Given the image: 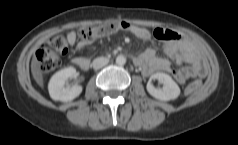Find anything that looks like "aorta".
<instances>
[{"label":"aorta","mask_w":238,"mask_h":145,"mask_svg":"<svg viewBox=\"0 0 238 145\" xmlns=\"http://www.w3.org/2000/svg\"><path fill=\"white\" fill-rule=\"evenodd\" d=\"M126 63V58H125V56H123V55H118L117 57H116V64H118V65H124Z\"/></svg>","instance_id":"aorta-1"}]
</instances>
